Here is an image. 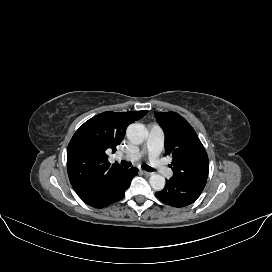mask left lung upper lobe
Masks as SVG:
<instances>
[{
  "mask_svg": "<svg viewBox=\"0 0 272 272\" xmlns=\"http://www.w3.org/2000/svg\"><path fill=\"white\" fill-rule=\"evenodd\" d=\"M165 133V151L172 157L171 180H207L208 156L192 126L175 112H155Z\"/></svg>",
  "mask_w": 272,
  "mask_h": 272,
  "instance_id": "1",
  "label": "left lung upper lobe"
}]
</instances>
